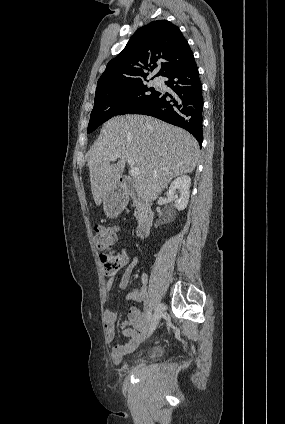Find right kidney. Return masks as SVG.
I'll use <instances>...</instances> for the list:
<instances>
[{
	"instance_id": "right-kidney-1",
	"label": "right kidney",
	"mask_w": 285,
	"mask_h": 424,
	"mask_svg": "<svg viewBox=\"0 0 285 424\" xmlns=\"http://www.w3.org/2000/svg\"><path fill=\"white\" fill-rule=\"evenodd\" d=\"M191 179L188 175L176 178L170 185L167 196L175 202L178 211L184 210L189 202ZM179 192V196L177 194Z\"/></svg>"
}]
</instances>
